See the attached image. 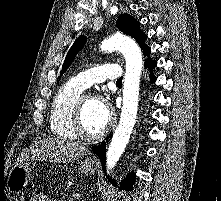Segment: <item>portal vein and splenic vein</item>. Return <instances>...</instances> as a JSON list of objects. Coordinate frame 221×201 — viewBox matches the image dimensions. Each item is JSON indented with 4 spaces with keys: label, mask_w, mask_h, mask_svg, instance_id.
Listing matches in <instances>:
<instances>
[{
    "label": "portal vein and splenic vein",
    "mask_w": 221,
    "mask_h": 201,
    "mask_svg": "<svg viewBox=\"0 0 221 201\" xmlns=\"http://www.w3.org/2000/svg\"><path fill=\"white\" fill-rule=\"evenodd\" d=\"M73 197L76 198V199H80L81 198V194L73 193Z\"/></svg>",
    "instance_id": "18ae733b"
}]
</instances>
